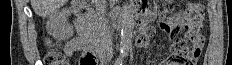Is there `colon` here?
Masks as SVG:
<instances>
[{
	"label": "colon",
	"instance_id": "colon-1",
	"mask_svg": "<svg viewBox=\"0 0 232 65\" xmlns=\"http://www.w3.org/2000/svg\"><path fill=\"white\" fill-rule=\"evenodd\" d=\"M154 8L158 15L164 20L173 10V1L171 0H156L154 2ZM204 19V7L201 2H192L189 4L186 10V36L184 39L176 40L171 50L173 56L171 60L181 64H192V59L198 54L197 43L200 40L202 34V26ZM51 50L45 57V65H64V55L54 48L51 42H49ZM95 59L92 53L85 52L80 59V65H94Z\"/></svg>",
	"mask_w": 232,
	"mask_h": 65
}]
</instances>
